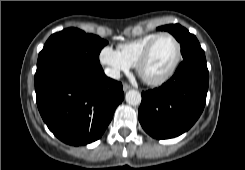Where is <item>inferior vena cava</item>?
<instances>
[{
  "label": "inferior vena cava",
  "mask_w": 245,
  "mask_h": 170,
  "mask_svg": "<svg viewBox=\"0 0 245 170\" xmlns=\"http://www.w3.org/2000/svg\"><path fill=\"white\" fill-rule=\"evenodd\" d=\"M104 72L110 78H113V79H119L120 78V71L118 69L105 68Z\"/></svg>",
  "instance_id": "inferior-vena-cava-1"
}]
</instances>
